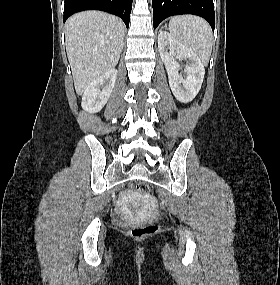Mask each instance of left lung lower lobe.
<instances>
[{"label": "left lung lower lobe", "instance_id": "1", "mask_svg": "<svg viewBox=\"0 0 280 285\" xmlns=\"http://www.w3.org/2000/svg\"><path fill=\"white\" fill-rule=\"evenodd\" d=\"M154 29L169 16L181 14L198 15L215 28L213 0H152Z\"/></svg>", "mask_w": 280, "mask_h": 285}]
</instances>
